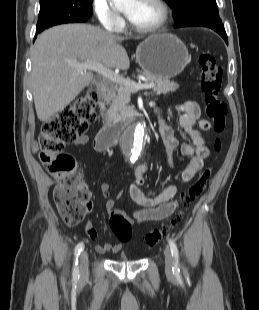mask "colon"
I'll return each mask as SVG.
<instances>
[{"mask_svg": "<svg viewBox=\"0 0 259 310\" xmlns=\"http://www.w3.org/2000/svg\"><path fill=\"white\" fill-rule=\"evenodd\" d=\"M200 66V86L204 96L205 111L217 134L226 128L227 108L219 98L222 83V69L216 59L208 51L197 54ZM98 95L88 90L64 107L56 116L42 125L39 142L40 160L46 170L58 182L54 191V199L62 220L68 225L80 223L91 207V193L83 183L81 169L73 155L66 153L64 147L79 136L86 133L89 126L96 121L95 107ZM215 148H221V139L215 141ZM211 176V169L206 168L199 173L197 179L183 194L185 206L194 202L204 190ZM181 220L178 214L169 223L153 229L145 236L148 248L155 246ZM109 225L113 234L121 242L131 239V223L120 213L111 215Z\"/></svg>", "mask_w": 259, "mask_h": 310, "instance_id": "1", "label": "colon"}]
</instances>
